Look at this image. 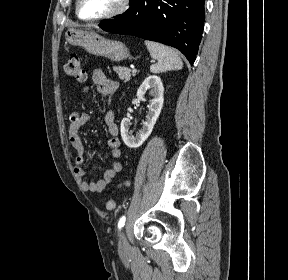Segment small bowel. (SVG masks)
Masks as SVG:
<instances>
[{
	"mask_svg": "<svg viewBox=\"0 0 288 280\" xmlns=\"http://www.w3.org/2000/svg\"><path fill=\"white\" fill-rule=\"evenodd\" d=\"M92 81L98 91L111 102L117 89L118 83L109 79L102 70L95 69L92 72ZM90 120V115L86 112L73 111L69 116L70 125L68 128L69 143L75 152V176L79 182L80 188L86 192H102L122 170V164L118 160L121 155V140L119 138V127L115 121L114 111L108 109L104 124L109 134L108 148L111 152L113 162L111 167L106 170L103 177L98 181H88L85 170L86 147L81 137L82 127Z\"/></svg>",
	"mask_w": 288,
	"mask_h": 280,
	"instance_id": "1",
	"label": "small bowel"
}]
</instances>
